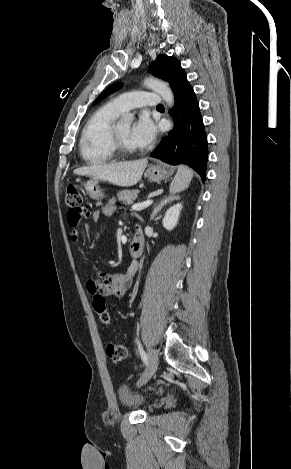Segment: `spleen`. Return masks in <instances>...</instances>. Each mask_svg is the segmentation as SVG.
Listing matches in <instances>:
<instances>
[{
    "label": "spleen",
    "mask_w": 291,
    "mask_h": 469,
    "mask_svg": "<svg viewBox=\"0 0 291 469\" xmlns=\"http://www.w3.org/2000/svg\"><path fill=\"white\" fill-rule=\"evenodd\" d=\"M193 178L192 170L185 166L181 165L178 168L177 174L170 186L171 193H177L185 190Z\"/></svg>",
    "instance_id": "obj_1"
}]
</instances>
